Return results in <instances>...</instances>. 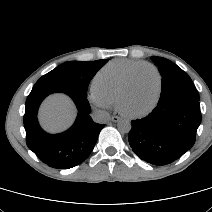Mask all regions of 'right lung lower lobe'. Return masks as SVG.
Instances as JSON below:
<instances>
[{
	"label": "right lung lower lobe",
	"mask_w": 212,
	"mask_h": 212,
	"mask_svg": "<svg viewBox=\"0 0 212 212\" xmlns=\"http://www.w3.org/2000/svg\"><path fill=\"white\" fill-rule=\"evenodd\" d=\"M62 92L69 95L79 111L73 126L61 134H48L37 120L39 105L49 94ZM87 95L68 88L34 86L27 97L24 114L26 144L45 164L56 169H69L83 162L93 150L100 131L105 125L90 117Z\"/></svg>",
	"instance_id": "1"
}]
</instances>
